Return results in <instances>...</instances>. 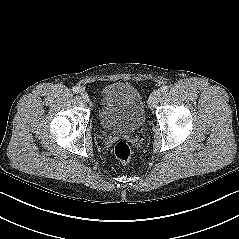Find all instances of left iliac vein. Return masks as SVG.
<instances>
[{"label":"left iliac vein","instance_id":"obj_1","mask_svg":"<svg viewBox=\"0 0 239 239\" xmlns=\"http://www.w3.org/2000/svg\"><path fill=\"white\" fill-rule=\"evenodd\" d=\"M161 91L155 90L151 96L149 97L148 104L150 108H154L156 104L158 103V100L160 99Z\"/></svg>","mask_w":239,"mask_h":239}]
</instances>
